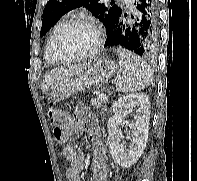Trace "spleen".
<instances>
[{"instance_id":"obj_1","label":"spleen","mask_w":197,"mask_h":181,"mask_svg":"<svg viewBox=\"0 0 197 181\" xmlns=\"http://www.w3.org/2000/svg\"><path fill=\"white\" fill-rule=\"evenodd\" d=\"M119 72L117 90L133 92L144 89L153 81V72L149 65L130 51L119 48Z\"/></svg>"}]
</instances>
